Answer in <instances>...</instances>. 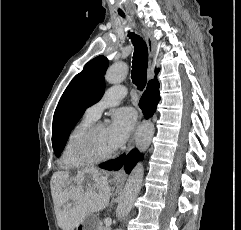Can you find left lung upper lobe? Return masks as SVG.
I'll return each mask as SVG.
<instances>
[{
    "label": "left lung upper lobe",
    "mask_w": 241,
    "mask_h": 230,
    "mask_svg": "<svg viewBox=\"0 0 241 230\" xmlns=\"http://www.w3.org/2000/svg\"><path fill=\"white\" fill-rule=\"evenodd\" d=\"M108 65V59L102 55L92 59L64 91L55 110L52 125V146L57 157L84 111L104 94V74Z\"/></svg>",
    "instance_id": "left-lung-upper-lobe-1"
}]
</instances>
